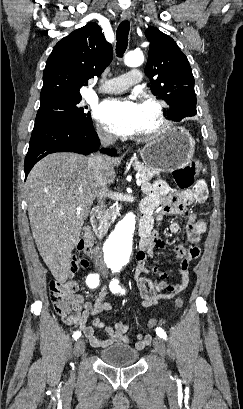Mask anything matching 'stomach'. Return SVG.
<instances>
[{
	"label": "stomach",
	"mask_w": 243,
	"mask_h": 409,
	"mask_svg": "<svg viewBox=\"0 0 243 409\" xmlns=\"http://www.w3.org/2000/svg\"><path fill=\"white\" fill-rule=\"evenodd\" d=\"M195 141L183 127H172L141 149L143 163L158 172H172L190 163Z\"/></svg>",
	"instance_id": "stomach-1"
}]
</instances>
